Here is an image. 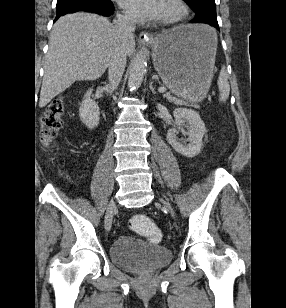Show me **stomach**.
<instances>
[{
  "label": "stomach",
  "instance_id": "0dacf381",
  "mask_svg": "<svg viewBox=\"0 0 286 308\" xmlns=\"http://www.w3.org/2000/svg\"><path fill=\"white\" fill-rule=\"evenodd\" d=\"M217 43L208 25L178 26L155 38L154 67L173 93L198 101L211 84Z\"/></svg>",
  "mask_w": 286,
  "mask_h": 308
}]
</instances>
